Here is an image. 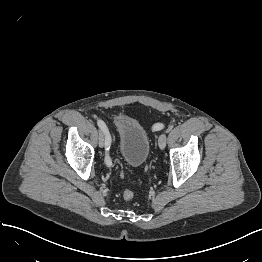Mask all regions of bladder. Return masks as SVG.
Wrapping results in <instances>:
<instances>
[{
	"label": "bladder",
	"instance_id": "31cf9c89",
	"mask_svg": "<svg viewBox=\"0 0 262 262\" xmlns=\"http://www.w3.org/2000/svg\"><path fill=\"white\" fill-rule=\"evenodd\" d=\"M118 148L122 160L131 167L143 165L150 154V139L145 128L134 118L121 115L115 119Z\"/></svg>",
	"mask_w": 262,
	"mask_h": 262
}]
</instances>
